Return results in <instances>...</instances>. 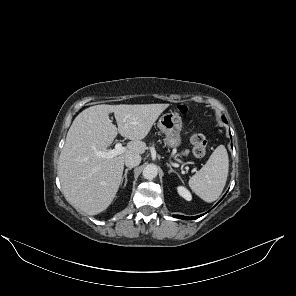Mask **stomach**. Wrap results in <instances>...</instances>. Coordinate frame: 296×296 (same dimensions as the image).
<instances>
[{"instance_id": "stomach-1", "label": "stomach", "mask_w": 296, "mask_h": 296, "mask_svg": "<svg viewBox=\"0 0 296 296\" xmlns=\"http://www.w3.org/2000/svg\"><path fill=\"white\" fill-rule=\"evenodd\" d=\"M158 127L164 133V142L169 148H177L181 145L182 120L179 114L174 112L165 113L160 117Z\"/></svg>"}]
</instances>
